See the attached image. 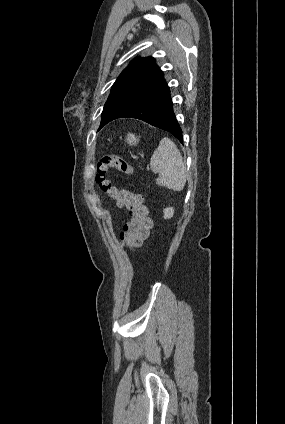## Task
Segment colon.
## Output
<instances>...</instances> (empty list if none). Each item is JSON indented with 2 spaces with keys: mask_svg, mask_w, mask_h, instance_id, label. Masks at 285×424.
Here are the masks:
<instances>
[{
  "mask_svg": "<svg viewBox=\"0 0 285 424\" xmlns=\"http://www.w3.org/2000/svg\"><path fill=\"white\" fill-rule=\"evenodd\" d=\"M111 169L124 175H133L134 168L123 156L105 153L97 163L96 181L104 193L128 212L129 221L124 225L121 234L122 245L130 249L138 248L152 229L148 205L142 194L113 186L107 178V173Z\"/></svg>",
  "mask_w": 285,
  "mask_h": 424,
  "instance_id": "colon-1",
  "label": "colon"
}]
</instances>
